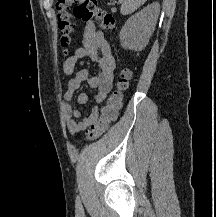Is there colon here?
Wrapping results in <instances>:
<instances>
[{"mask_svg":"<svg viewBox=\"0 0 216 217\" xmlns=\"http://www.w3.org/2000/svg\"><path fill=\"white\" fill-rule=\"evenodd\" d=\"M56 10L58 28L61 33L60 43L64 52H67L73 43V18L85 21L94 20L103 30H110L115 26L112 14L99 9L97 0H57ZM130 76V70L123 69L121 71L116 88L102 107L99 118L92 123L88 130L87 139L95 140L99 138L108 130L109 125L116 120Z\"/></svg>","mask_w":216,"mask_h":217,"instance_id":"obj_1","label":"colon"}]
</instances>
